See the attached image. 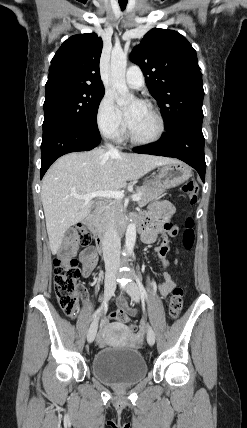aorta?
Returning a JSON list of instances; mask_svg holds the SVG:
<instances>
[{"instance_id": "1", "label": "aorta", "mask_w": 247, "mask_h": 428, "mask_svg": "<svg viewBox=\"0 0 247 428\" xmlns=\"http://www.w3.org/2000/svg\"><path fill=\"white\" fill-rule=\"evenodd\" d=\"M127 55L121 48H114L111 53V76L113 86L117 92V103L126 106L133 100L126 85L125 74ZM136 242V226L130 223L126 229L125 247L128 253H132Z\"/></svg>"}]
</instances>
